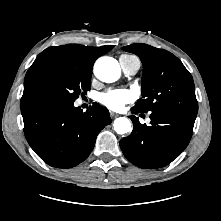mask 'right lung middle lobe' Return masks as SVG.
I'll use <instances>...</instances> for the list:
<instances>
[{"mask_svg": "<svg viewBox=\"0 0 221 221\" xmlns=\"http://www.w3.org/2000/svg\"><path fill=\"white\" fill-rule=\"evenodd\" d=\"M92 70L68 62H51L30 78L27 94L32 100L74 102L91 88Z\"/></svg>", "mask_w": 221, "mask_h": 221, "instance_id": "obj_1", "label": "right lung middle lobe"}]
</instances>
